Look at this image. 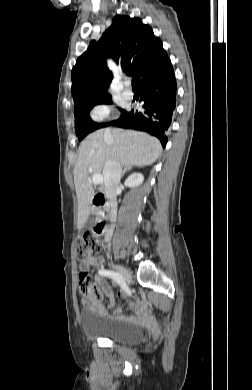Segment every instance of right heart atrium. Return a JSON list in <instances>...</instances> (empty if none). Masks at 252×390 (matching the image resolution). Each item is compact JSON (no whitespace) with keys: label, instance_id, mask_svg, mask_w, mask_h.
I'll use <instances>...</instances> for the list:
<instances>
[{"label":"right heart atrium","instance_id":"1","mask_svg":"<svg viewBox=\"0 0 252 390\" xmlns=\"http://www.w3.org/2000/svg\"><path fill=\"white\" fill-rule=\"evenodd\" d=\"M111 111L109 104L101 103L92 108L90 116L95 122H101L110 116Z\"/></svg>","mask_w":252,"mask_h":390}]
</instances>
